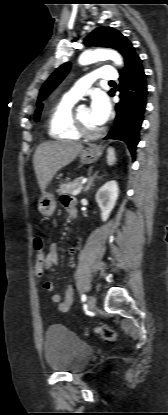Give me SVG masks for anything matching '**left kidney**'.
Instances as JSON below:
<instances>
[{
    "instance_id": "obj_1",
    "label": "left kidney",
    "mask_w": 168,
    "mask_h": 415,
    "mask_svg": "<svg viewBox=\"0 0 168 415\" xmlns=\"http://www.w3.org/2000/svg\"><path fill=\"white\" fill-rule=\"evenodd\" d=\"M119 188L116 181H108L96 193L95 199L101 209V219L106 221L118 199Z\"/></svg>"
}]
</instances>
